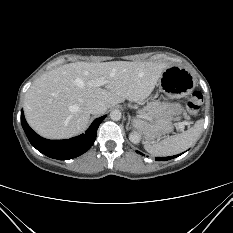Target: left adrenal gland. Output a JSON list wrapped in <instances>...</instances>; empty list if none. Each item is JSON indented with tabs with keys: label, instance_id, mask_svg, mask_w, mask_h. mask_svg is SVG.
<instances>
[{
	"label": "left adrenal gland",
	"instance_id": "obj_1",
	"mask_svg": "<svg viewBox=\"0 0 233 233\" xmlns=\"http://www.w3.org/2000/svg\"><path fill=\"white\" fill-rule=\"evenodd\" d=\"M128 117H129V118H128V123H127V125H126V129H127V130L129 129V124H130V120H131L130 115H129Z\"/></svg>",
	"mask_w": 233,
	"mask_h": 233
}]
</instances>
